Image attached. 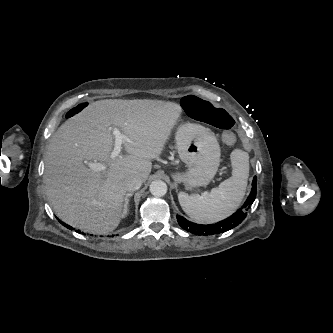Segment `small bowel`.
<instances>
[{"label": "small bowel", "mask_w": 333, "mask_h": 333, "mask_svg": "<svg viewBox=\"0 0 333 333\" xmlns=\"http://www.w3.org/2000/svg\"><path fill=\"white\" fill-rule=\"evenodd\" d=\"M219 141L224 146H231L232 144H235L237 141H239L242 143L244 151L250 150L249 139L243 134H237L235 131L222 130L219 133Z\"/></svg>", "instance_id": "small-bowel-1"}]
</instances>
